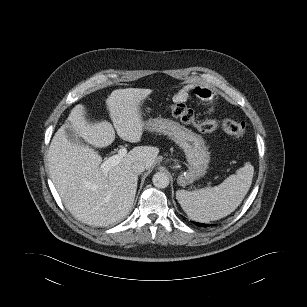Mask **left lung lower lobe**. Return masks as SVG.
<instances>
[{"instance_id": "obj_1", "label": "left lung lower lobe", "mask_w": 307, "mask_h": 307, "mask_svg": "<svg viewBox=\"0 0 307 307\" xmlns=\"http://www.w3.org/2000/svg\"><path fill=\"white\" fill-rule=\"evenodd\" d=\"M199 227H208L209 225L207 224H201V223H195Z\"/></svg>"}]
</instances>
